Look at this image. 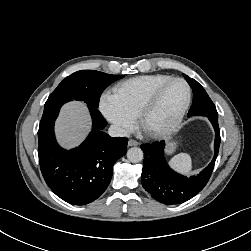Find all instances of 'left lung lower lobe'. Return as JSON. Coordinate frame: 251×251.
Instances as JSON below:
<instances>
[{
    "instance_id": "left-lung-lower-lobe-1",
    "label": "left lung lower lobe",
    "mask_w": 251,
    "mask_h": 251,
    "mask_svg": "<svg viewBox=\"0 0 251 251\" xmlns=\"http://www.w3.org/2000/svg\"><path fill=\"white\" fill-rule=\"evenodd\" d=\"M193 101L198 102L199 99L193 95ZM202 116H206L210 120L216 137L214 157L211 163L197 176L189 178L182 176L168 166L164 157L165 141L141 145L144 152L142 185L155 200L167 205L183 203L197 195L209 181L219 152L221 138L218 115Z\"/></svg>"
}]
</instances>
